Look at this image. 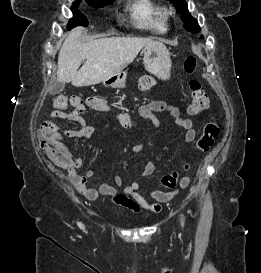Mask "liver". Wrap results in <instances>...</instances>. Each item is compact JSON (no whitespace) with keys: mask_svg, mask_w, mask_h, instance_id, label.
Returning <instances> with one entry per match:
<instances>
[{"mask_svg":"<svg viewBox=\"0 0 261 273\" xmlns=\"http://www.w3.org/2000/svg\"><path fill=\"white\" fill-rule=\"evenodd\" d=\"M83 28L73 29L58 54L57 79L75 87L96 85L122 71L153 41L140 37H112L82 42ZM86 60L79 69L81 62ZM79 69V70H78Z\"/></svg>","mask_w":261,"mask_h":273,"instance_id":"liver-1","label":"liver"}]
</instances>
